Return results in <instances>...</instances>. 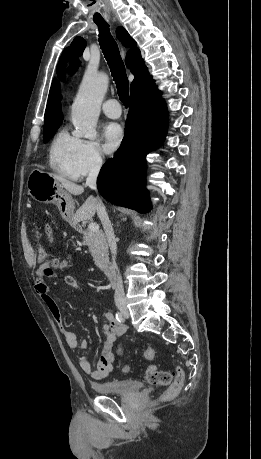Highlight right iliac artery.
Returning <instances> with one entry per match:
<instances>
[{
	"label": "right iliac artery",
	"instance_id": "obj_1",
	"mask_svg": "<svg viewBox=\"0 0 261 459\" xmlns=\"http://www.w3.org/2000/svg\"><path fill=\"white\" fill-rule=\"evenodd\" d=\"M116 319L119 321V322H124L125 321V316L122 312H117L116 313Z\"/></svg>",
	"mask_w": 261,
	"mask_h": 459
}]
</instances>
